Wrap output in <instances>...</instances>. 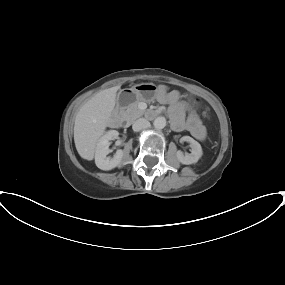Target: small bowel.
Returning <instances> with one entry per match:
<instances>
[{
    "label": "small bowel",
    "instance_id": "obj_1",
    "mask_svg": "<svg viewBox=\"0 0 285 285\" xmlns=\"http://www.w3.org/2000/svg\"><path fill=\"white\" fill-rule=\"evenodd\" d=\"M157 100L163 104H169V114L171 116L173 127L176 130H188L194 138L203 141L206 136L205 128L199 118L194 114H186V105L180 100L177 91H169L165 87H160L157 91Z\"/></svg>",
    "mask_w": 285,
    "mask_h": 285
}]
</instances>
